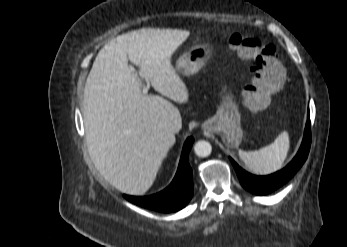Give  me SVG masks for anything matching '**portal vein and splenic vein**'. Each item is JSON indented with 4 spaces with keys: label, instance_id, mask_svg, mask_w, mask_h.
I'll list each match as a JSON object with an SVG mask.
<instances>
[{
    "label": "portal vein and splenic vein",
    "instance_id": "obj_1",
    "mask_svg": "<svg viewBox=\"0 0 347 247\" xmlns=\"http://www.w3.org/2000/svg\"><path fill=\"white\" fill-rule=\"evenodd\" d=\"M148 92V86L143 88V93L146 94Z\"/></svg>",
    "mask_w": 347,
    "mask_h": 247
}]
</instances>
